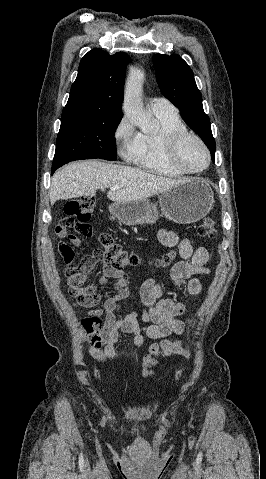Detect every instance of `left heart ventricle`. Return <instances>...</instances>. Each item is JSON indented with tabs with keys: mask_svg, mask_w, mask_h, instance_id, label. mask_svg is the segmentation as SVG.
I'll use <instances>...</instances> for the list:
<instances>
[{
	"mask_svg": "<svg viewBox=\"0 0 266 479\" xmlns=\"http://www.w3.org/2000/svg\"><path fill=\"white\" fill-rule=\"evenodd\" d=\"M179 157L181 162L189 169H200L206 164L204 150L193 139H188L181 145Z\"/></svg>",
	"mask_w": 266,
	"mask_h": 479,
	"instance_id": "left-heart-ventricle-1",
	"label": "left heart ventricle"
}]
</instances>
